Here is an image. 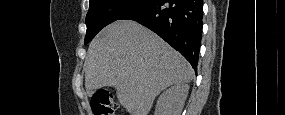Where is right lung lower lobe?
<instances>
[{
    "label": "right lung lower lobe",
    "instance_id": "1",
    "mask_svg": "<svg viewBox=\"0 0 285 115\" xmlns=\"http://www.w3.org/2000/svg\"><path fill=\"white\" fill-rule=\"evenodd\" d=\"M202 18V0H152L121 19L137 21L158 34L197 71Z\"/></svg>",
    "mask_w": 285,
    "mask_h": 115
}]
</instances>
